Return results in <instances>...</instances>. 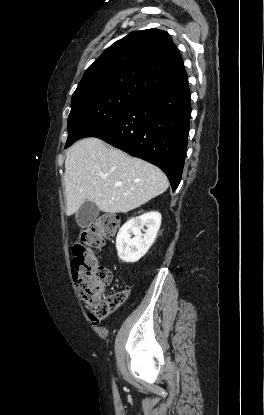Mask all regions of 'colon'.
I'll return each mask as SVG.
<instances>
[{
	"mask_svg": "<svg viewBox=\"0 0 264 415\" xmlns=\"http://www.w3.org/2000/svg\"><path fill=\"white\" fill-rule=\"evenodd\" d=\"M119 225L117 214H107L92 221L83 231L81 240L73 247L71 270L78 274L77 289L89 317L100 322L115 311L127 298L126 291L107 295L111 283V268L98 265L95 251L104 247L105 240L116 235Z\"/></svg>",
	"mask_w": 264,
	"mask_h": 415,
	"instance_id": "obj_1",
	"label": "colon"
}]
</instances>
